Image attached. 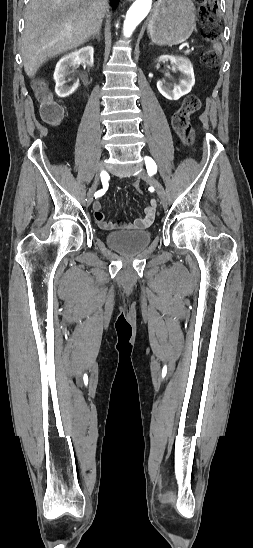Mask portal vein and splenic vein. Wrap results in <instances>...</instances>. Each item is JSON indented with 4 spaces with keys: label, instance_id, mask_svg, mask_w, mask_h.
Segmentation results:
<instances>
[{
    "label": "portal vein and splenic vein",
    "instance_id": "18ae733b",
    "mask_svg": "<svg viewBox=\"0 0 253 548\" xmlns=\"http://www.w3.org/2000/svg\"><path fill=\"white\" fill-rule=\"evenodd\" d=\"M189 51H190V47L187 46V49H186L185 53H189Z\"/></svg>",
    "mask_w": 253,
    "mask_h": 548
}]
</instances>
